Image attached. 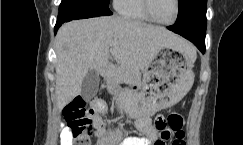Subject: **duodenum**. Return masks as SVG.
I'll use <instances>...</instances> for the list:
<instances>
[{"mask_svg":"<svg viewBox=\"0 0 243 145\" xmlns=\"http://www.w3.org/2000/svg\"><path fill=\"white\" fill-rule=\"evenodd\" d=\"M100 74L102 75V77L108 79L111 75L110 65H103L100 69Z\"/></svg>","mask_w":243,"mask_h":145,"instance_id":"410a0bca","label":"duodenum"}]
</instances>
